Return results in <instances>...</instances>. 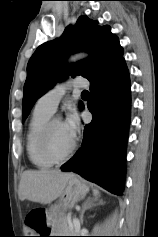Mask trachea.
Masks as SVG:
<instances>
[{
	"label": "trachea",
	"mask_w": 158,
	"mask_h": 237,
	"mask_svg": "<svg viewBox=\"0 0 158 237\" xmlns=\"http://www.w3.org/2000/svg\"><path fill=\"white\" fill-rule=\"evenodd\" d=\"M82 96H89V92H88V91H86V90H85V91H83V92H82Z\"/></svg>",
	"instance_id": "3493384b"
}]
</instances>
